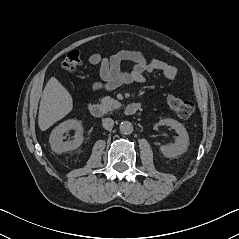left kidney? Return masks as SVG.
<instances>
[{"label": "left kidney", "mask_w": 239, "mask_h": 239, "mask_svg": "<svg viewBox=\"0 0 239 239\" xmlns=\"http://www.w3.org/2000/svg\"><path fill=\"white\" fill-rule=\"evenodd\" d=\"M158 124L170 126L178 134L174 144L160 146L162 154L167 158H175L184 154L189 146V136L185 127L177 120L171 118L161 119Z\"/></svg>", "instance_id": "1"}]
</instances>
